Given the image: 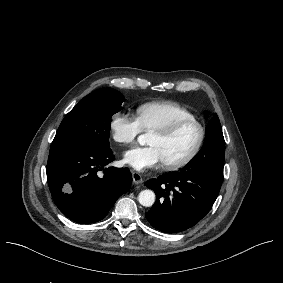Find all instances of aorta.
<instances>
[{"instance_id": "obj_1", "label": "aorta", "mask_w": 283, "mask_h": 283, "mask_svg": "<svg viewBox=\"0 0 283 283\" xmlns=\"http://www.w3.org/2000/svg\"><path fill=\"white\" fill-rule=\"evenodd\" d=\"M147 140L148 137L146 134L138 137V142L142 146L147 143ZM138 201L144 207H151L155 203V193L150 189L143 190L138 195Z\"/></svg>"}]
</instances>
